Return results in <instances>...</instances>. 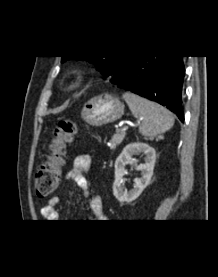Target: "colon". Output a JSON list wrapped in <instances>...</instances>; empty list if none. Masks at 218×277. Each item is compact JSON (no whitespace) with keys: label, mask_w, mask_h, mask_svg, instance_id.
I'll return each mask as SVG.
<instances>
[{"label":"colon","mask_w":218,"mask_h":277,"mask_svg":"<svg viewBox=\"0 0 218 277\" xmlns=\"http://www.w3.org/2000/svg\"><path fill=\"white\" fill-rule=\"evenodd\" d=\"M78 125L72 120H61L56 126L50 143L48 160L35 174V190L39 197H47L57 187L67 146L72 142Z\"/></svg>","instance_id":"colon-1"}]
</instances>
